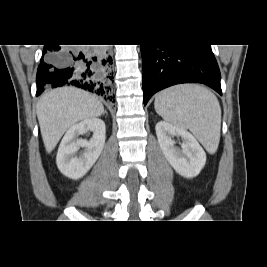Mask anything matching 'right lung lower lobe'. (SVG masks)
I'll return each mask as SVG.
<instances>
[{"label":"right lung lower lobe","instance_id":"right-lung-lower-lobe-1","mask_svg":"<svg viewBox=\"0 0 267 267\" xmlns=\"http://www.w3.org/2000/svg\"><path fill=\"white\" fill-rule=\"evenodd\" d=\"M111 64L105 47L79 50L45 45L37 71L36 95L47 88L75 86L112 100Z\"/></svg>","mask_w":267,"mask_h":267}]
</instances>
